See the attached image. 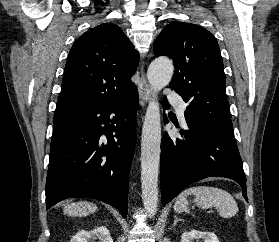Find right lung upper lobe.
<instances>
[{
	"label": "right lung upper lobe",
	"instance_id": "right-lung-upper-lobe-1",
	"mask_svg": "<svg viewBox=\"0 0 279 242\" xmlns=\"http://www.w3.org/2000/svg\"><path fill=\"white\" fill-rule=\"evenodd\" d=\"M138 60V52L117 25L104 23L86 31L70 50L55 116L128 97L137 90L131 76Z\"/></svg>",
	"mask_w": 279,
	"mask_h": 242
}]
</instances>
